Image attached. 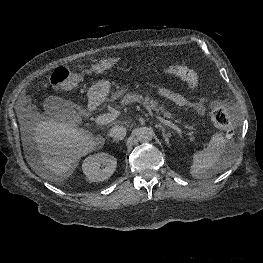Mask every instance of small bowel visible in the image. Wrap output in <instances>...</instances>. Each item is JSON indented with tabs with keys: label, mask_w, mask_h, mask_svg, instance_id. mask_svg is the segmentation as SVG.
Instances as JSON below:
<instances>
[{
	"label": "small bowel",
	"mask_w": 263,
	"mask_h": 263,
	"mask_svg": "<svg viewBox=\"0 0 263 263\" xmlns=\"http://www.w3.org/2000/svg\"><path fill=\"white\" fill-rule=\"evenodd\" d=\"M157 92L161 96L168 98L169 100L173 101L179 106H185V105L192 106L199 114H203L205 111V105L203 102H190L183 95L175 93L166 88H158Z\"/></svg>",
	"instance_id": "c3829d8e"
}]
</instances>
